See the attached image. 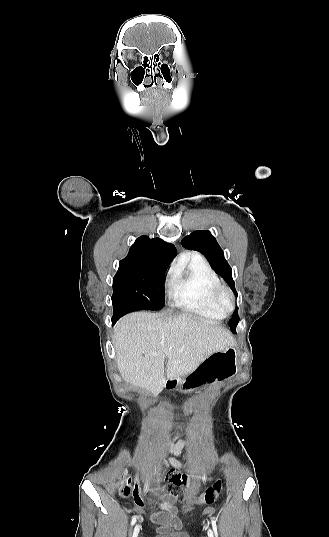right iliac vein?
<instances>
[{"mask_svg":"<svg viewBox=\"0 0 329 537\" xmlns=\"http://www.w3.org/2000/svg\"><path fill=\"white\" fill-rule=\"evenodd\" d=\"M140 528H141V527H140L139 524H137V525L135 526V528H134V530H133V533H132V537H137V536H138V534H139V532H140Z\"/></svg>","mask_w":329,"mask_h":537,"instance_id":"obj_1","label":"right iliac vein"}]
</instances>
